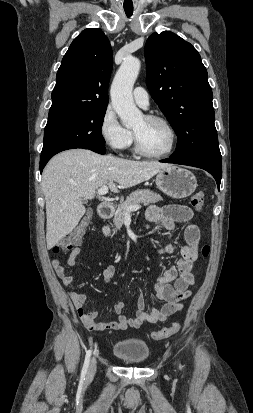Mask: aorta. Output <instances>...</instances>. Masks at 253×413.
<instances>
[{"label":"aorta","mask_w":253,"mask_h":413,"mask_svg":"<svg viewBox=\"0 0 253 413\" xmlns=\"http://www.w3.org/2000/svg\"><path fill=\"white\" fill-rule=\"evenodd\" d=\"M141 62L135 57L124 59L119 67L110 89L114 110L122 124L131 128L142 120L141 111L135 106L132 90L139 74Z\"/></svg>","instance_id":"762f6f07"}]
</instances>
